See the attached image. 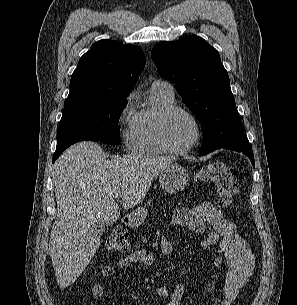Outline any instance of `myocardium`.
I'll return each instance as SVG.
<instances>
[{"label": "myocardium", "mask_w": 297, "mask_h": 305, "mask_svg": "<svg viewBox=\"0 0 297 305\" xmlns=\"http://www.w3.org/2000/svg\"><path fill=\"white\" fill-rule=\"evenodd\" d=\"M176 113H182L186 115L193 122L195 127V137L190 144L184 147H174L170 144L166 135V125L168 120L175 115ZM202 135L201 124L198 118L192 113L190 110L180 107V106H171L169 108L161 111L157 117L156 125H155V136L158 144L163 148L165 152L171 154H185L191 151L200 141Z\"/></svg>", "instance_id": "obj_1"}]
</instances>
